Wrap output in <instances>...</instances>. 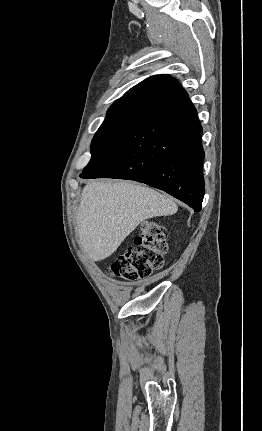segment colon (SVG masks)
Instances as JSON below:
<instances>
[{
    "mask_svg": "<svg viewBox=\"0 0 262 431\" xmlns=\"http://www.w3.org/2000/svg\"><path fill=\"white\" fill-rule=\"evenodd\" d=\"M166 230L157 221L145 223L133 246L120 253L109 267L111 275L132 282L149 277L164 265Z\"/></svg>",
    "mask_w": 262,
    "mask_h": 431,
    "instance_id": "5ec220e1",
    "label": "colon"
}]
</instances>
